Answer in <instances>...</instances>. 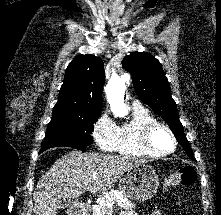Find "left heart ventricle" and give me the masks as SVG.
Listing matches in <instances>:
<instances>
[{"mask_svg": "<svg viewBox=\"0 0 221 215\" xmlns=\"http://www.w3.org/2000/svg\"><path fill=\"white\" fill-rule=\"evenodd\" d=\"M154 142L158 148L163 150L170 149L172 145L169 135L164 131H160L156 134Z\"/></svg>", "mask_w": 221, "mask_h": 215, "instance_id": "1", "label": "left heart ventricle"}]
</instances>
